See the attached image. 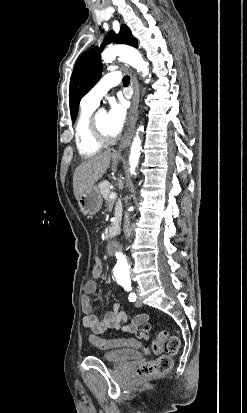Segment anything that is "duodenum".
<instances>
[{"label":"duodenum","mask_w":247,"mask_h":413,"mask_svg":"<svg viewBox=\"0 0 247 413\" xmlns=\"http://www.w3.org/2000/svg\"><path fill=\"white\" fill-rule=\"evenodd\" d=\"M117 231H118V226H117V224L112 223V224L109 226L108 231H107L108 237H109L110 239L113 238V237L116 235Z\"/></svg>","instance_id":"1"}]
</instances>
